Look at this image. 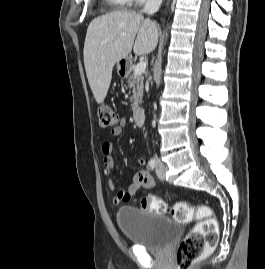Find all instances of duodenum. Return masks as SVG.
Returning <instances> with one entry per match:
<instances>
[{
    "label": "duodenum",
    "instance_id": "410a0bca",
    "mask_svg": "<svg viewBox=\"0 0 265 269\" xmlns=\"http://www.w3.org/2000/svg\"><path fill=\"white\" fill-rule=\"evenodd\" d=\"M133 119L136 124L142 125L145 120V111L143 109H137L133 113Z\"/></svg>",
    "mask_w": 265,
    "mask_h": 269
}]
</instances>
